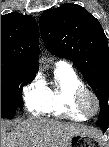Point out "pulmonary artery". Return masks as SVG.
I'll return each mask as SVG.
<instances>
[{
  "instance_id": "1",
  "label": "pulmonary artery",
  "mask_w": 109,
  "mask_h": 147,
  "mask_svg": "<svg viewBox=\"0 0 109 147\" xmlns=\"http://www.w3.org/2000/svg\"><path fill=\"white\" fill-rule=\"evenodd\" d=\"M58 65H61V66H69V64L66 62V61H60L59 63H58Z\"/></svg>"
}]
</instances>
